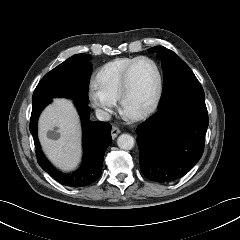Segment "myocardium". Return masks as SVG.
<instances>
[{"instance_id":"1","label":"myocardium","mask_w":240,"mask_h":240,"mask_svg":"<svg viewBox=\"0 0 240 240\" xmlns=\"http://www.w3.org/2000/svg\"><path fill=\"white\" fill-rule=\"evenodd\" d=\"M142 60H147V61L151 62L155 67L156 74H157L156 89H155V92H154V95H153L151 101L145 108H143L142 110H140L132 115H128L125 113L124 106H125V101L127 99L129 91H130L131 73H132L135 65ZM162 91H163V75H162V71H161L159 64L153 58H151L149 56H139V57L135 58V60L129 64V66L126 68V70L123 74L121 90H120L119 97H118L119 108L123 113H125L132 119H135V120L143 119V118L147 117L148 115H150L155 110V108L157 107V105L161 99Z\"/></svg>"}]
</instances>
